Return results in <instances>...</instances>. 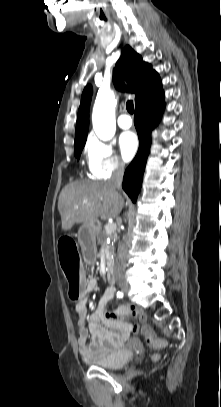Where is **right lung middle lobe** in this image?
<instances>
[{
	"label": "right lung middle lobe",
	"instance_id": "dd1d6c3e",
	"mask_svg": "<svg viewBox=\"0 0 221 407\" xmlns=\"http://www.w3.org/2000/svg\"><path fill=\"white\" fill-rule=\"evenodd\" d=\"M85 145V142L75 144L74 155L76 158L80 157L81 151Z\"/></svg>",
	"mask_w": 221,
	"mask_h": 407
}]
</instances>
